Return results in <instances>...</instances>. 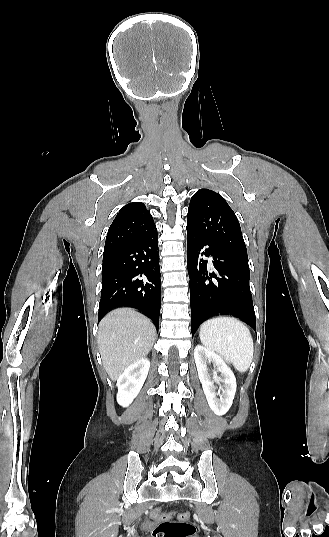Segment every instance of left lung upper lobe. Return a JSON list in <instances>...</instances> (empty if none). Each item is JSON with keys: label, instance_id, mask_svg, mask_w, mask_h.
<instances>
[{"label": "left lung upper lobe", "instance_id": "1", "mask_svg": "<svg viewBox=\"0 0 329 537\" xmlns=\"http://www.w3.org/2000/svg\"><path fill=\"white\" fill-rule=\"evenodd\" d=\"M187 225L211 244L248 259L238 219L218 193L201 189L192 196Z\"/></svg>", "mask_w": 329, "mask_h": 537}]
</instances>
